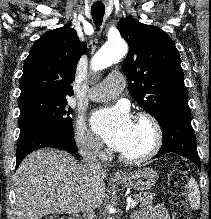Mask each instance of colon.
I'll return each instance as SVG.
<instances>
[{
  "mask_svg": "<svg viewBox=\"0 0 211 219\" xmlns=\"http://www.w3.org/2000/svg\"><path fill=\"white\" fill-rule=\"evenodd\" d=\"M189 166L185 162H179L168 175V187L170 190V203L172 205V219H191L190 209L185 202L184 193L187 183ZM42 219H68L62 216L51 215Z\"/></svg>",
  "mask_w": 211,
  "mask_h": 219,
  "instance_id": "obj_1",
  "label": "colon"
}]
</instances>
